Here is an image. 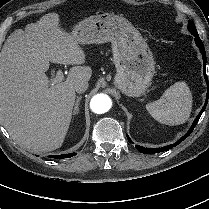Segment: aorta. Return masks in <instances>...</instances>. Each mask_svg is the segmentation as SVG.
Instances as JSON below:
<instances>
[{
  "label": "aorta",
  "instance_id": "1",
  "mask_svg": "<svg viewBox=\"0 0 209 209\" xmlns=\"http://www.w3.org/2000/svg\"><path fill=\"white\" fill-rule=\"evenodd\" d=\"M112 101L106 94H96L90 101V108L96 114H103L109 111Z\"/></svg>",
  "mask_w": 209,
  "mask_h": 209
}]
</instances>
